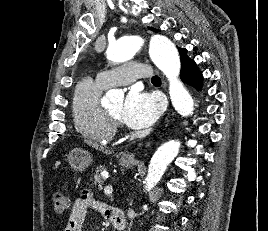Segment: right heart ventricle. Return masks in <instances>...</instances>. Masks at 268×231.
Listing matches in <instances>:
<instances>
[{"mask_svg": "<svg viewBox=\"0 0 268 231\" xmlns=\"http://www.w3.org/2000/svg\"><path fill=\"white\" fill-rule=\"evenodd\" d=\"M106 88L98 79H83L75 89L71 106L76 131L100 144L111 142L116 132L106 110L100 104L102 92Z\"/></svg>", "mask_w": 268, "mask_h": 231, "instance_id": "e07e8e85", "label": "right heart ventricle"}]
</instances>
